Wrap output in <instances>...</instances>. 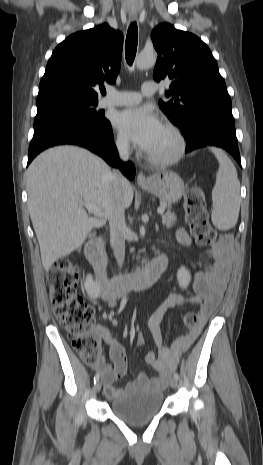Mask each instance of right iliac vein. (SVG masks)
I'll list each match as a JSON object with an SVG mask.
<instances>
[{"label": "right iliac vein", "instance_id": "1", "mask_svg": "<svg viewBox=\"0 0 263 465\" xmlns=\"http://www.w3.org/2000/svg\"><path fill=\"white\" fill-rule=\"evenodd\" d=\"M101 387H102V384H101L100 381H98V382L96 383L95 387H94L95 392H97V393L100 392Z\"/></svg>", "mask_w": 263, "mask_h": 465}]
</instances>
